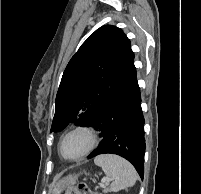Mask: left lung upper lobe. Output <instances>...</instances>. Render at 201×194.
<instances>
[{"mask_svg":"<svg viewBox=\"0 0 201 194\" xmlns=\"http://www.w3.org/2000/svg\"><path fill=\"white\" fill-rule=\"evenodd\" d=\"M134 65L130 40L115 26L97 29L69 61L57 92L51 132L89 126Z\"/></svg>","mask_w":201,"mask_h":194,"instance_id":"5c2ea615","label":"left lung upper lobe"}]
</instances>
